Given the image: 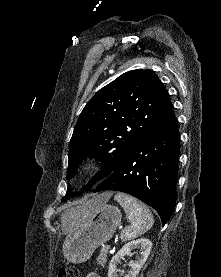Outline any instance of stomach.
Instances as JSON below:
<instances>
[{"instance_id":"0dacf381","label":"stomach","mask_w":221,"mask_h":277,"mask_svg":"<svg viewBox=\"0 0 221 277\" xmlns=\"http://www.w3.org/2000/svg\"><path fill=\"white\" fill-rule=\"evenodd\" d=\"M121 212L113 205L97 204L96 197L79 206L68 222L63 255L68 262L87 261L93 252L107 242L121 223Z\"/></svg>"}]
</instances>
